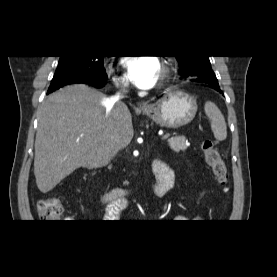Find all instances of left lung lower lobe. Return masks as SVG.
I'll list each match as a JSON object with an SVG mask.
<instances>
[{
  "mask_svg": "<svg viewBox=\"0 0 277 277\" xmlns=\"http://www.w3.org/2000/svg\"><path fill=\"white\" fill-rule=\"evenodd\" d=\"M194 81L207 83V84H209V87H211V88L215 89L216 91L222 93L216 77H210V76H208V77H198V78H195Z\"/></svg>",
  "mask_w": 277,
  "mask_h": 277,
  "instance_id": "left-lung-lower-lobe-1",
  "label": "left lung lower lobe"
}]
</instances>
